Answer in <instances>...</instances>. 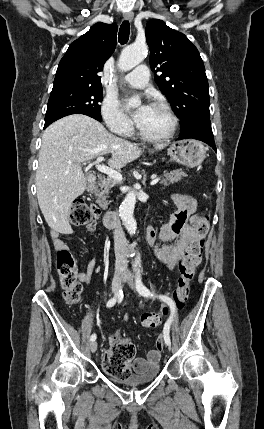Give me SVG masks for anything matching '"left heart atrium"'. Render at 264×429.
Returning a JSON list of instances; mask_svg holds the SVG:
<instances>
[{
  "label": "left heart atrium",
  "mask_w": 264,
  "mask_h": 429,
  "mask_svg": "<svg viewBox=\"0 0 264 429\" xmlns=\"http://www.w3.org/2000/svg\"><path fill=\"white\" fill-rule=\"evenodd\" d=\"M148 109H149V106L142 105L140 108H138L136 110V112L134 113L133 117H134V120L137 123V125L141 122V120L143 119V117L147 113Z\"/></svg>",
  "instance_id": "39dd6f15"
}]
</instances>
